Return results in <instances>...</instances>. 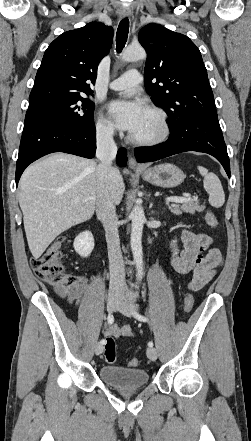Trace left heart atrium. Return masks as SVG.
Instances as JSON below:
<instances>
[{"mask_svg":"<svg viewBox=\"0 0 251 441\" xmlns=\"http://www.w3.org/2000/svg\"><path fill=\"white\" fill-rule=\"evenodd\" d=\"M146 107L138 100H116L108 105L115 125L124 131L134 132L144 115Z\"/></svg>","mask_w":251,"mask_h":441,"instance_id":"left-heart-atrium-1","label":"left heart atrium"}]
</instances>
